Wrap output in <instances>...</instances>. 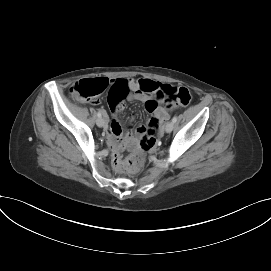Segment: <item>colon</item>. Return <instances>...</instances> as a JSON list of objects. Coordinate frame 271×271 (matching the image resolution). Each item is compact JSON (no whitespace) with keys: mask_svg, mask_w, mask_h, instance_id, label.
Instances as JSON below:
<instances>
[{"mask_svg":"<svg viewBox=\"0 0 271 271\" xmlns=\"http://www.w3.org/2000/svg\"><path fill=\"white\" fill-rule=\"evenodd\" d=\"M109 86V81L105 78L84 79L75 83L71 89V95L84 101H95ZM144 90H148V86H142ZM158 99L164 100L168 105L187 106L192 101V94L185 87L165 86L156 94ZM158 126L156 119L149 122L148 133L140 141L139 148L131 152L127 157L122 158L119 153L113 155V166L119 171L136 172L144 164L145 152L154 148L156 140L153 136Z\"/></svg>","mask_w":271,"mask_h":271,"instance_id":"obj_1","label":"colon"}]
</instances>
